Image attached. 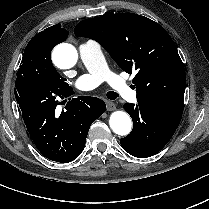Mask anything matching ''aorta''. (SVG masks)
<instances>
[{
  "label": "aorta",
  "mask_w": 209,
  "mask_h": 209,
  "mask_svg": "<svg viewBox=\"0 0 209 209\" xmlns=\"http://www.w3.org/2000/svg\"><path fill=\"white\" fill-rule=\"evenodd\" d=\"M53 61L61 69H67L75 65L78 54L76 48L68 43H62L53 50ZM110 128L114 133L126 136L132 129L130 116L124 111H115L109 119Z\"/></svg>",
  "instance_id": "aorta-1"
}]
</instances>
